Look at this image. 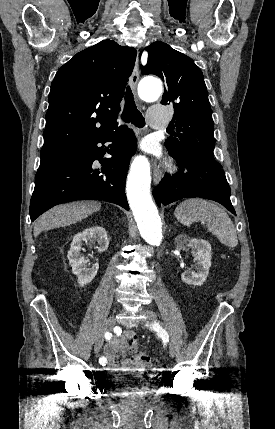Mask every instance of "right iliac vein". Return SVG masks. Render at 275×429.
Instances as JSON below:
<instances>
[{
  "label": "right iliac vein",
  "mask_w": 275,
  "mask_h": 429,
  "mask_svg": "<svg viewBox=\"0 0 275 429\" xmlns=\"http://www.w3.org/2000/svg\"><path fill=\"white\" fill-rule=\"evenodd\" d=\"M114 326H115V318L113 316L109 317L105 322L103 333L107 332V331H111L114 328ZM103 333L99 334V336L97 337V340L95 342L94 351L96 354L99 353V351L103 345V341H104Z\"/></svg>",
  "instance_id": "obj_1"
}]
</instances>
